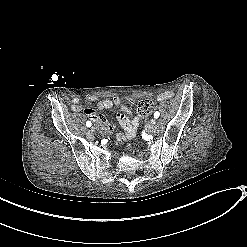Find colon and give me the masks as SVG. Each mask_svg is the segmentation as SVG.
<instances>
[{"mask_svg": "<svg viewBox=\"0 0 247 247\" xmlns=\"http://www.w3.org/2000/svg\"><path fill=\"white\" fill-rule=\"evenodd\" d=\"M154 109V103L151 100L144 99L137 103V112L140 116H146Z\"/></svg>", "mask_w": 247, "mask_h": 247, "instance_id": "obj_1", "label": "colon"}]
</instances>
